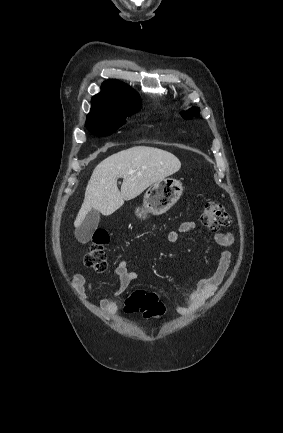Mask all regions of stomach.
Here are the masks:
<instances>
[{
  "instance_id": "obj_1",
  "label": "stomach",
  "mask_w": 283,
  "mask_h": 433,
  "mask_svg": "<svg viewBox=\"0 0 283 433\" xmlns=\"http://www.w3.org/2000/svg\"><path fill=\"white\" fill-rule=\"evenodd\" d=\"M182 192V182L176 178H161L153 182L144 194L143 206H138L135 210L137 217L144 219L147 212L163 214L179 200Z\"/></svg>"
}]
</instances>
